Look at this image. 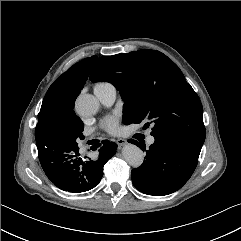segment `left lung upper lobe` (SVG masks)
<instances>
[{
	"label": "left lung upper lobe",
	"mask_w": 241,
	"mask_h": 241,
	"mask_svg": "<svg viewBox=\"0 0 241 241\" xmlns=\"http://www.w3.org/2000/svg\"><path fill=\"white\" fill-rule=\"evenodd\" d=\"M92 82H110L125 104L124 124L152 123L151 135L167 134L203 145V107L178 66L156 50L100 57Z\"/></svg>",
	"instance_id": "obj_1"
}]
</instances>
